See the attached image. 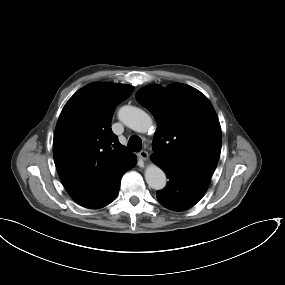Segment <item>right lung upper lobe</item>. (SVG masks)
<instances>
[{"label":"right lung upper lobe","instance_id":"1","mask_svg":"<svg viewBox=\"0 0 285 285\" xmlns=\"http://www.w3.org/2000/svg\"><path fill=\"white\" fill-rule=\"evenodd\" d=\"M133 90L125 84L91 83L77 91L60 114L54 161L67 192L83 207L103 200L136 159L111 130L116 106Z\"/></svg>","mask_w":285,"mask_h":285}]
</instances>
